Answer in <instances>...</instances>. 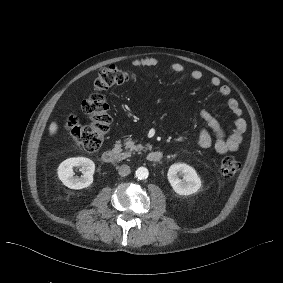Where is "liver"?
Instances as JSON below:
<instances>
[{
    "instance_id": "liver-1",
    "label": "liver",
    "mask_w": 283,
    "mask_h": 283,
    "mask_svg": "<svg viewBox=\"0 0 283 283\" xmlns=\"http://www.w3.org/2000/svg\"><path fill=\"white\" fill-rule=\"evenodd\" d=\"M57 128H58L57 124H56L55 122H52V123L50 124V127H49L50 135L55 134L56 131H57Z\"/></svg>"
}]
</instances>
